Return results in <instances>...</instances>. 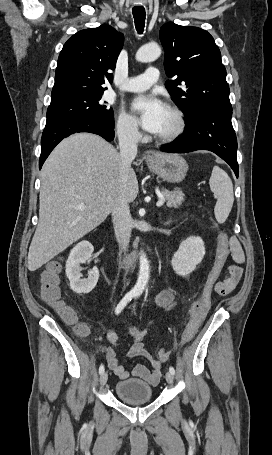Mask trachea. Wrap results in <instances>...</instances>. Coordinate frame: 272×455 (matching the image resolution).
<instances>
[{"label": "trachea", "mask_w": 272, "mask_h": 455, "mask_svg": "<svg viewBox=\"0 0 272 455\" xmlns=\"http://www.w3.org/2000/svg\"><path fill=\"white\" fill-rule=\"evenodd\" d=\"M136 30L142 34L145 27L146 12L144 7H134L132 9Z\"/></svg>", "instance_id": "trachea-1"}]
</instances>
